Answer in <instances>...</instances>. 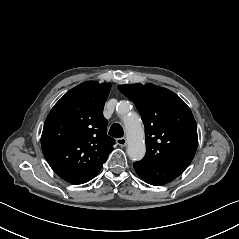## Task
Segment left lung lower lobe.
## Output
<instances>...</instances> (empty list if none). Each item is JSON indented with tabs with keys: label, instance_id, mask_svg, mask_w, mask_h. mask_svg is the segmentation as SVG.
<instances>
[{
	"label": "left lung lower lobe",
	"instance_id": "obj_1",
	"mask_svg": "<svg viewBox=\"0 0 239 239\" xmlns=\"http://www.w3.org/2000/svg\"><path fill=\"white\" fill-rule=\"evenodd\" d=\"M133 167L142 180L155 186L172 181L186 169V167L180 166L148 165L140 161L135 162Z\"/></svg>",
	"mask_w": 239,
	"mask_h": 239
}]
</instances>
